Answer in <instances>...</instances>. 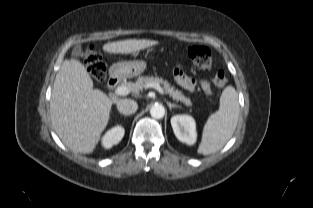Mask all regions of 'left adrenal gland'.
<instances>
[{
	"label": "left adrenal gland",
	"mask_w": 313,
	"mask_h": 208,
	"mask_svg": "<svg viewBox=\"0 0 313 208\" xmlns=\"http://www.w3.org/2000/svg\"><path fill=\"white\" fill-rule=\"evenodd\" d=\"M166 103H167V105H168V107H169V109L171 110L172 108H174V107H180L179 105H176V104H174V103H171V102H168V101H166Z\"/></svg>",
	"instance_id": "left-adrenal-gland-1"
}]
</instances>
